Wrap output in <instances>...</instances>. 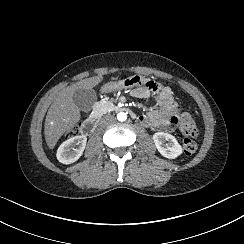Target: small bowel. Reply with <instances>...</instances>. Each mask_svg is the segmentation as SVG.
<instances>
[{
    "label": "small bowel",
    "instance_id": "obj_1",
    "mask_svg": "<svg viewBox=\"0 0 244 244\" xmlns=\"http://www.w3.org/2000/svg\"><path fill=\"white\" fill-rule=\"evenodd\" d=\"M129 92L138 99H152L157 106L156 110L137 116L136 119L142 126L147 128L152 126L166 132L177 122L180 106L168 86L155 81L152 85L136 87Z\"/></svg>",
    "mask_w": 244,
    "mask_h": 244
}]
</instances>
